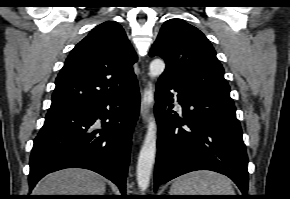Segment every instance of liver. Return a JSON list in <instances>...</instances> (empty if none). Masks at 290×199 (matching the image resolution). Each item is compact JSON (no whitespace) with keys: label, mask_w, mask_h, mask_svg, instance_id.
Segmentation results:
<instances>
[{"label":"liver","mask_w":290,"mask_h":199,"mask_svg":"<svg viewBox=\"0 0 290 199\" xmlns=\"http://www.w3.org/2000/svg\"><path fill=\"white\" fill-rule=\"evenodd\" d=\"M105 179L84 169H64L47 175L34 188V195H104Z\"/></svg>","instance_id":"6515ba94"}]
</instances>
